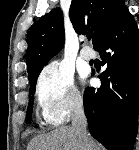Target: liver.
<instances>
[{
	"label": "liver",
	"instance_id": "6515ba94",
	"mask_svg": "<svg viewBox=\"0 0 139 150\" xmlns=\"http://www.w3.org/2000/svg\"><path fill=\"white\" fill-rule=\"evenodd\" d=\"M81 145L72 127L63 126L48 134L32 139L27 150H81ZM101 147L88 136L86 150H101Z\"/></svg>",
	"mask_w": 139,
	"mask_h": 150
}]
</instances>
